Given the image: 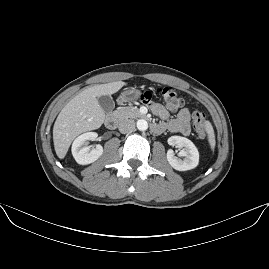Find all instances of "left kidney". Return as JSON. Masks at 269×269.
Here are the masks:
<instances>
[{
    "label": "left kidney",
    "mask_w": 269,
    "mask_h": 269,
    "mask_svg": "<svg viewBox=\"0 0 269 269\" xmlns=\"http://www.w3.org/2000/svg\"><path fill=\"white\" fill-rule=\"evenodd\" d=\"M168 144L183 148L179 152L180 157H185L183 160L176 157L172 149L167 151V160L169 164L176 170L186 171L195 168L199 163V152L192 141L181 136H171L168 138Z\"/></svg>",
    "instance_id": "5707ae66"
}]
</instances>
